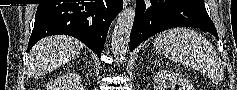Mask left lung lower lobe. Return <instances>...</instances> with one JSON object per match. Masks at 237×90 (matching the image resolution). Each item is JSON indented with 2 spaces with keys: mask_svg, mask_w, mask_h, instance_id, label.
I'll use <instances>...</instances> for the list:
<instances>
[{
  "mask_svg": "<svg viewBox=\"0 0 237 90\" xmlns=\"http://www.w3.org/2000/svg\"><path fill=\"white\" fill-rule=\"evenodd\" d=\"M179 26L199 28L218 38L203 0H137L130 51L154 34Z\"/></svg>",
  "mask_w": 237,
  "mask_h": 90,
  "instance_id": "obj_1",
  "label": "left lung lower lobe"
}]
</instances>
